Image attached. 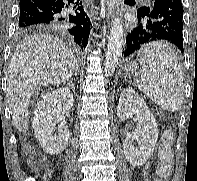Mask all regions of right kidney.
<instances>
[{
    "instance_id": "1",
    "label": "right kidney",
    "mask_w": 197,
    "mask_h": 181,
    "mask_svg": "<svg viewBox=\"0 0 197 181\" xmlns=\"http://www.w3.org/2000/svg\"><path fill=\"white\" fill-rule=\"evenodd\" d=\"M73 102V95L68 88H58L47 93L34 112L32 127L35 137L43 149L51 155L62 152L68 143L69 129L60 121L61 114L71 110ZM56 124H58L57 133H54Z\"/></svg>"
}]
</instances>
